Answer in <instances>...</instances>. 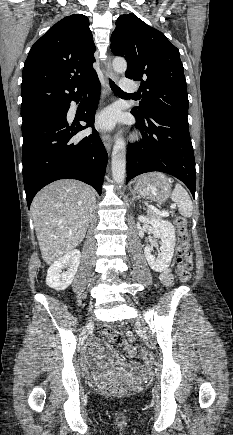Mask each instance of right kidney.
Segmentation results:
<instances>
[{
	"instance_id": "ca27d5eb",
	"label": "right kidney",
	"mask_w": 233,
	"mask_h": 435,
	"mask_svg": "<svg viewBox=\"0 0 233 435\" xmlns=\"http://www.w3.org/2000/svg\"><path fill=\"white\" fill-rule=\"evenodd\" d=\"M80 258V251L72 250L55 261L47 271L46 284L58 291L66 289L77 273ZM64 268L67 271L62 272Z\"/></svg>"
}]
</instances>
